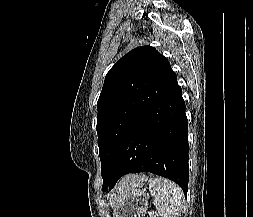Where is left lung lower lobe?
<instances>
[{
    "mask_svg": "<svg viewBox=\"0 0 253 217\" xmlns=\"http://www.w3.org/2000/svg\"><path fill=\"white\" fill-rule=\"evenodd\" d=\"M188 170V124L176 82L130 126L102 190H111L125 174L151 172L176 182L186 196Z\"/></svg>",
    "mask_w": 253,
    "mask_h": 217,
    "instance_id": "left-lung-lower-lobe-1",
    "label": "left lung lower lobe"
}]
</instances>
